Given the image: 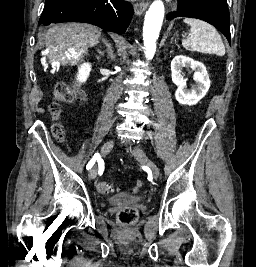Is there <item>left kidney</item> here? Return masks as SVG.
Here are the masks:
<instances>
[{"instance_id":"obj_1","label":"left kidney","mask_w":256,"mask_h":267,"mask_svg":"<svg viewBox=\"0 0 256 267\" xmlns=\"http://www.w3.org/2000/svg\"><path fill=\"white\" fill-rule=\"evenodd\" d=\"M182 68H191L195 72L193 80H195L196 84L192 86L191 90H187V78L182 76ZM171 78L173 84L177 86L175 98L179 104L194 106L206 96L210 88V80L204 64L195 62L188 56H175L173 58L171 62Z\"/></svg>"}]
</instances>
